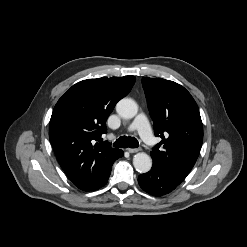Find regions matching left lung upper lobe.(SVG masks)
<instances>
[{
  "label": "left lung upper lobe",
  "mask_w": 247,
  "mask_h": 247,
  "mask_svg": "<svg viewBox=\"0 0 247 247\" xmlns=\"http://www.w3.org/2000/svg\"><path fill=\"white\" fill-rule=\"evenodd\" d=\"M155 135L162 138L151 151L153 164L185 179L193 168L203 142V125L198 106L181 85L142 78Z\"/></svg>",
  "instance_id": "5c2ea615"
}]
</instances>
